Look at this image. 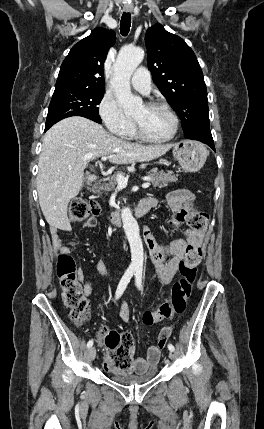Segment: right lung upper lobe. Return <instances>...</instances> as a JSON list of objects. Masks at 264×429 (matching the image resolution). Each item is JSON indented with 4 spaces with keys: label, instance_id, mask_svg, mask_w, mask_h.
I'll return each mask as SVG.
<instances>
[{
    "label": "right lung upper lobe",
    "instance_id": "right-lung-upper-lobe-1",
    "mask_svg": "<svg viewBox=\"0 0 264 429\" xmlns=\"http://www.w3.org/2000/svg\"><path fill=\"white\" fill-rule=\"evenodd\" d=\"M115 39L113 31L99 27L75 44L61 65L55 90L65 88L104 90V61Z\"/></svg>",
    "mask_w": 264,
    "mask_h": 429
}]
</instances>
